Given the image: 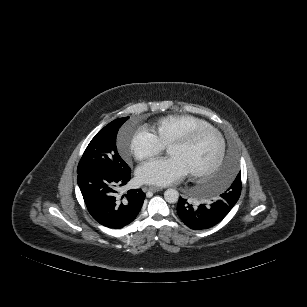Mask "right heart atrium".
<instances>
[{
	"label": "right heart atrium",
	"mask_w": 307,
	"mask_h": 307,
	"mask_svg": "<svg viewBox=\"0 0 307 307\" xmlns=\"http://www.w3.org/2000/svg\"><path fill=\"white\" fill-rule=\"evenodd\" d=\"M130 153L138 160L159 154L164 144L157 135L148 128H139L127 140Z\"/></svg>",
	"instance_id": "right-heart-atrium-1"
}]
</instances>
